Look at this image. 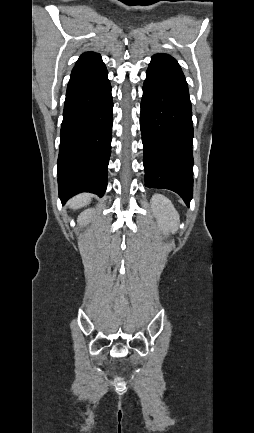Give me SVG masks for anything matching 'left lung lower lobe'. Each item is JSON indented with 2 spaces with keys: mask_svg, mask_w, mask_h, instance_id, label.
I'll return each instance as SVG.
<instances>
[{
  "mask_svg": "<svg viewBox=\"0 0 254 433\" xmlns=\"http://www.w3.org/2000/svg\"><path fill=\"white\" fill-rule=\"evenodd\" d=\"M145 186L169 189L185 203L193 195V123L188 86L177 61L152 57L141 101Z\"/></svg>",
  "mask_w": 254,
  "mask_h": 433,
  "instance_id": "1",
  "label": "left lung lower lobe"
}]
</instances>
